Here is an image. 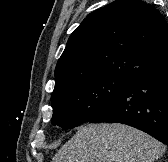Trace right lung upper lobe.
<instances>
[{
	"instance_id": "right-lung-upper-lobe-1",
	"label": "right lung upper lobe",
	"mask_w": 168,
	"mask_h": 162,
	"mask_svg": "<svg viewBox=\"0 0 168 162\" xmlns=\"http://www.w3.org/2000/svg\"><path fill=\"white\" fill-rule=\"evenodd\" d=\"M168 63V25L141 0H116L82 21L56 68L53 92L104 75L132 79Z\"/></svg>"
}]
</instances>
